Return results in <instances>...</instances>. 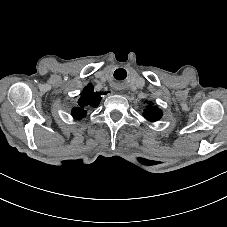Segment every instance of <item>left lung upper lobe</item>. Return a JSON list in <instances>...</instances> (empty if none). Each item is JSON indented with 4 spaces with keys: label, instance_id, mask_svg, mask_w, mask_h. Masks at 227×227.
I'll use <instances>...</instances> for the list:
<instances>
[{
    "label": "left lung upper lobe",
    "instance_id": "obj_1",
    "mask_svg": "<svg viewBox=\"0 0 227 227\" xmlns=\"http://www.w3.org/2000/svg\"><path fill=\"white\" fill-rule=\"evenodd\" d=\"M143 115L147 120L154 122L162 117V111L157 107H148L144 111Z\"/></svg>",
    "mask_w": 227,
    "mask_h": 227
}]
</instances>
